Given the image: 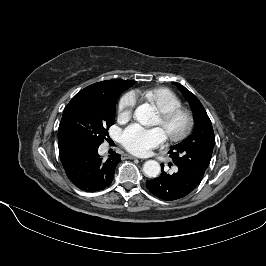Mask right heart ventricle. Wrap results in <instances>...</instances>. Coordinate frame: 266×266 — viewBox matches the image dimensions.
<instances>
[{
    "label": "right heart ventricle",
    "mask_w": 266,
    "mask_h": 266,
    "mask_svg": "<svg viewBox=\"0 0 266 266\" xmlns=\"http://www.w3.org/2000/svg\"><path fill=\"white\" fill-rule=\"evenodd\" d=\"M143 95L159 110V112H166L182 107L181 99L169 89L160 88L146 90L143 92Z\"/></svg>",
    "instance_id": "1"
}]
</instances>
